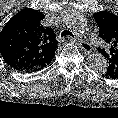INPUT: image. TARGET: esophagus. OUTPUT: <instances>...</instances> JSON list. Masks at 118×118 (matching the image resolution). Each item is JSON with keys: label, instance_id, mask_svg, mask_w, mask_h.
Instances as JSON below:
<instances>
[{"label": "esophagus", "instance_id": "esophagus-1", "mask_svg": "<svg viewBox=\"0 0 118 118\" xmlns=\"http://www.w3.org/2000/svg\"><path fill=\"white\" fill-rule=\"evenodd\" d=\"M68 39L72 40L71 38H68ZM76 42L81 47V49H83L85 52L89 53L92 51V46L90 43L81 39H77Z\"/></svg>", "mask_w": 118, "mask_h": 118}]
</instances>
